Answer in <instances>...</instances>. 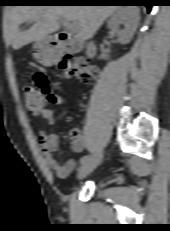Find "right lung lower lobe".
I'll list each match as a JSON object with an SVG mask.
<instances>
[{
	"label": "right lung lower lobe",
	"instance_id": "1",
	"mask_svg": "<svg viewBox=\"0 0 170 231\" xmlns=\"http://www.w3.org/2000/svg\"><path fill=\"white\" fill-rule=\"evenodd\" d=\"M140 2H142L140 5H144L147 7L148 11L151 10V7H152V3H151V0H141Z\"/></svg>",
	"mask_w": 170,
	"mask_h": 231
}]
</instances>
